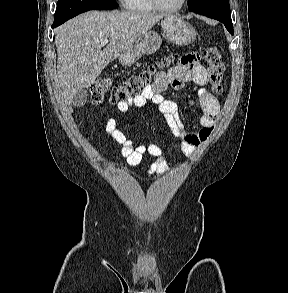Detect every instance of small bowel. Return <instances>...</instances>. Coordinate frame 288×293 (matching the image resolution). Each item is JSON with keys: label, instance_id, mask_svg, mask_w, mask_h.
Listing matches in <instances>:
<instances>
[{"label": "small bowel", "instance_id": "small-bowel-1", "mask_svg": "<svg viewBox=\"0 0 288 293\" xmlns=\"http://www.w3.org/2000/svg\"><path fill=\"white\" fill-rule=\"evenodd\" d=\"M209 76L205 67L199 62L196 53L187 54L179 59L177 64L167 72H158L154 83L139 95L117 104V109L126 112L131 107L142 108L148 102L156 105L163 115L171 135L178 140L181 151L192 155L198 146L205 142L212 133L214 122L219 114V103L215 96L202 90L199 94L198 123L200 130L189 131L181 117L179 107L173 100L163 95L169 86L175 90H182L186 82H193L199 87L208 83ZM194 105L193 101H189ZM106 132L119 145L122 156L130 165H138L148 154L154 157L148 175L166 172L170 163L164 159L163 149L156 143L136 145L122 130L118 129L115 118L106 123Z\"/></svg>", "mask_w": 288, "mask_h": 293}]
</instances>
